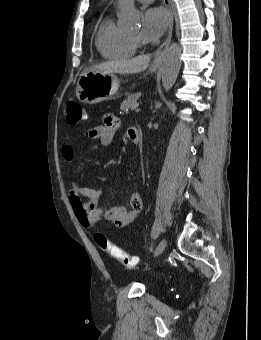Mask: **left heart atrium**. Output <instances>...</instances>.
Wrapping results in <instances>:
<instances>
[{
  "mask_svg": "<svg viewBox=\"0 0 261 340\" xmlns=\"http://www.w3.org/2000/svg\"><path fill=\"white\" fill-rule=\"evenodd\" d=\"M170 23L169 12L161 7L147 9L142 17V38L147 42L157 41Z\"/></svg>",
  "mask_w": 261,
  "mask_h": 340,
  "instance_id": "1",
  "label": "left heart atrium"
}]
</instances>
